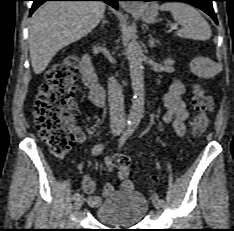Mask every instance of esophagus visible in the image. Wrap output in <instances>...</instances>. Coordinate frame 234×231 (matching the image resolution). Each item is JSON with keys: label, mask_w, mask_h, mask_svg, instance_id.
<instances>
[{"label": "esophagus", "mask_w": 234, "mask_h": 231, "mask_svg": "<svg viewBox=\"0 0 234 231\" xmlns=\"http://www.w3.org/2000/svg\"><path fill=\"white\" fill-rule=\"evenodd\" d=\"M123 7L125 10H132V9L138 8V6L136 4H124Z\"/></svg>", "instance_id": "esophagus-1"}]
</instances>
